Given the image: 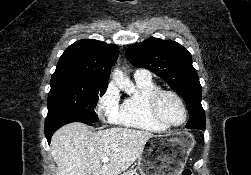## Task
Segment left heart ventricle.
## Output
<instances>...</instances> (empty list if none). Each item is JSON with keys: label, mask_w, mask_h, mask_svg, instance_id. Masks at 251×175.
Wrapping results in <instances>:
<instances>
[{"label": "left heart ventricle", "mask_w": 251, "mask_h": 175, "mask_svg": "<svg viewBox=\"0 0 251 175\" xmlns=\"http://www.w3.org/2000/svg\"><path fill=\"white\" fill-rule=\"evenodd\" d=\"M157 109L162 119L170 125L177 126L184 121V108L172 94H163L158 100Z\"/></svg>", "instance_id": "left-heart-ventricle-1"}]
</instances>
